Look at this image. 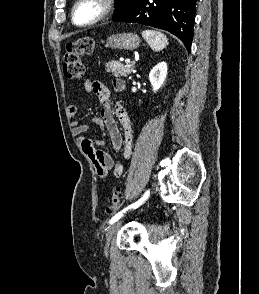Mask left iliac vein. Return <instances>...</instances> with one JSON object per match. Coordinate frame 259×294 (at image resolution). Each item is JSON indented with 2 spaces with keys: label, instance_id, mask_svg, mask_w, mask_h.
<instances>
[{
  "label": "left iliac vein",
  "instance_id": "left-iliac-vein-1",
  "mask_svg": "<svg viewBox=\"0 0 259 294\" xmlns=\"http://www.w3.org/2000/svg\"><path fill=\"white\" fill-rule=\"evenodd\" d=\"M121 224H122V220H118L115 223H113L109 227V229L107 230V232H106V244H105V247H104V250H105L106 253H108L110 242H111L113 236L115 235V233L120 228Z\"/></svg>",
  "mask_w": 259,
  "mask_h": 294
}]
</instances>
